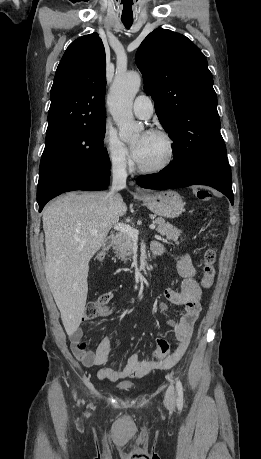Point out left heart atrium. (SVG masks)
<instances>
[{
	"instance_id": "1",
	"label": "left heart atrium",
	"mask_w": 261,
	"mask_h": 459,
	"mask_svg": "<svg viewBox=\"0 0 261 459\" xmlns=\"http://www.w3.org/2000/svg\"><path fill=\"white\" fill-rule=\"evenodd\" d=\"M150 133H144L141 135L140 139L137 141V143L134 145V149H133V156H134V159L139 162L140 159H141V156H142V149H143V145L148 137Z\"/></svg>"
}]
</instances>
